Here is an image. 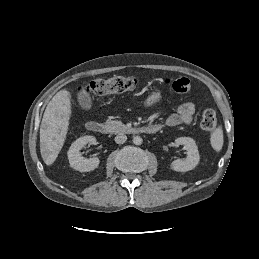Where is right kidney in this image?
Here are the masks:
<instances>
[{"instance_id":"obj_1","label":"right kidney","mask_w":259,"mask_h":259,"mask_svg":"<svg viewBox=\"0 0 259 259\" xmlns=\"http://www.w3.org/2000/svg\"><path fill=\"white\" fill-rule=\"evenodd\" d=\"M93 136H83L78 138L72 143L68 150V160L70 166L80 172H90L98 168L100 160L97 157L90 159L84 158L80 153V150L87 144H93L95 142Z\"/></svg>"}]
</instances>
